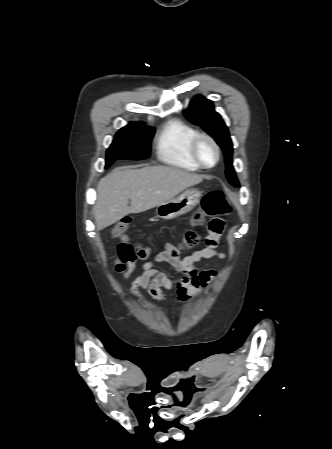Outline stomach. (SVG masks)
<instances>
[{"label":"stomach","instance_id":"0dacf381","mask_svg":"<svg viewBox=\"0 0 332 449\" xmlns=\"http://www.w3.org/2000/svg\"><path fill=\"white\" fill-rule=\"evenodd\" d=\"M201 196L202 192L198 189H188L178 197L158 205L156 214L159 218L166 220L184 215L199 204Z\"/></svg>","mask_w":332,"mask_h":449}]
</instances>
